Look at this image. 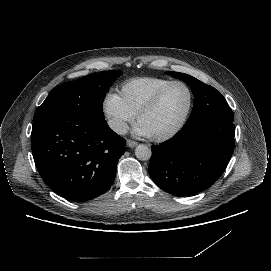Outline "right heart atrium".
<instances>
[{"instance_id":"d8ad5b80","label":"right heart atrium","mask_w":271,"mask_h":271,"mask_svg":"<svg viewBox=\"0 0 271 271\" xmlns=\"http://www.w3.org/2000/svg\"><path fill=\"white\" fill-rule=\"evenodd\" d=\"M101 109L110 128L118 134H124L127 131L128 125L134 120V116L125 107L120 95L114 91L105 93Z\"/></svg>"}]
</instances>
